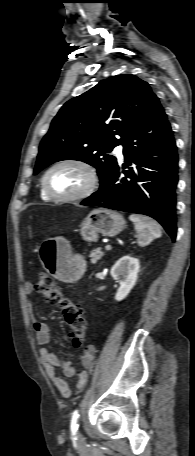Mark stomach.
I'll use <instances>...</instances> for the list:
<instances>
[{
  "label": "stomach",
  "instance_id": "0dacf381",
  "mask_svg": "<svg viewBox=\"0 0 195 456\" xmlns=\"http://www.w3.org/2000/svg\"><path fill=\"white\" fill-rule=\"evenodd\" d=\"M123 216L103 208L92 210L83 221L80 234L85 241L96 242L99 234L115 236L125 227ZM40 259L45 269L62 281H75L85 270V259L74 254L69 242L63 238L46 239L40 247Z\"/></svg>",
  "mask_w": 195,
  "mask_h": 456
}]
</instances>
